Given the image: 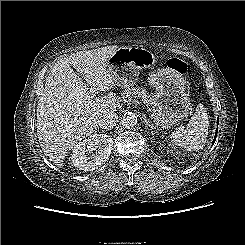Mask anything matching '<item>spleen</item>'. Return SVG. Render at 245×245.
I'll use <instances>...</instances> for the list:
<instances>
[{"instance_id":"obj_1","label":"spleen","mask_w":245,"mask_h":245,"mask_svg":"<svg viewBox=\"0 0 245 245\" xmlns=\"http://www.w3.org/2000/svg\"><path fill=\"white\" fill-rule=\"evenodd\" d=\"M208 114L205 107L199 104L185 129H176L171 134L172 142L188 151H198L203 148L208 136Z\"/></svg>"}]
</instances>
